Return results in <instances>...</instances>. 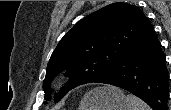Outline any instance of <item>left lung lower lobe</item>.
Instances as JSON below:
<instances>
[{
  "label": "left lung lower lobe",
  "instance_id": "0a47b994",
  "mask_svg": "<svg viewBox=\"0 0 171 110\" xmlns=\"http://www.w3.org/2000/svg\"><path fill=\"white\" fill-rule=\"evenodd\" d=\"M96 83L123 88L144 100L153 110H169V79L165 55L150 24L147 32L117 65Z\"/></svg>",
  "mask_w": 171,
  "mask_h": 110
}]
</instances>
